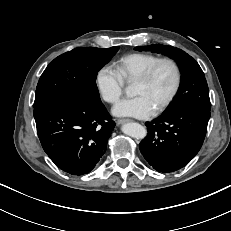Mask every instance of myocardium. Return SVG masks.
Segmentation results:
<instances>
[{"label":"myocardium","instance_id":"myocardium-1","mask_svg":"<svg viewBox=\"0 0 231 231\" xmlns=\"http://www.w3.org/2000/svg\"><path fill=\"white\" fill-rule=\"evenodd\" d=\"M163 64H170L175 72V82L173 88L166 99L155 109V113H161L166 108L170 106V104L174 101L175 97L177 96L181 85H182V70L179 63L170 57H164L157 60L154 64H152L148 69H146L141 75H139L135 80L137 82L146 83L149 82L158 68Z\"/></svg>","mask_w":231,"mask_h":231}]
</instances>
